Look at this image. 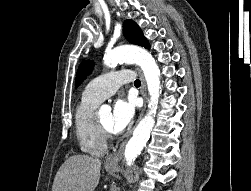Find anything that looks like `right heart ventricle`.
<instances>
[{"label":"right heart ventricle","mask_w":251,"mask_h":191,"mask_svg":"<svg viewBox=\"0 0 251 191\" xmlns=\"http://www.w3.org/2000/svg\"><path fill=\"white\" fill-rule=\"evenodd\" d=\"M70 91L74 89L70 88ZM99 102V100L88 99L82 95L74 113L75 135L79 150L95 157L103 156L108 149L106 139L93 115Z\"/></svg>","instance_id":"right-heart-ventricle-1"}]
</instances>
